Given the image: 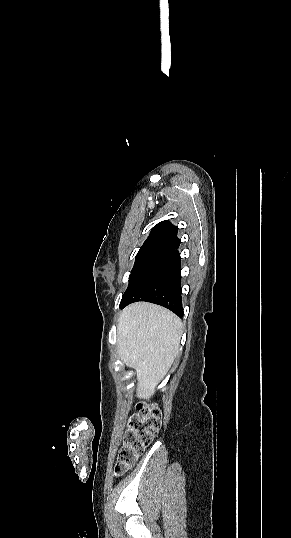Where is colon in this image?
I'll return each mask as SVG.
<instances>
[{"label": "colon", "instance_id": "obj_1", "mask_svg": "<svg viewBox=\"0 0 291 538\" xmlns=\"http://www.w3.org/2000/svg\"><path fill=\"white\" fill-rule=\"evenodd\" d=\"M162 413L155 405L139 404L138 413L129 423L125 441L115 465L116 476L124 473L135 463L143 450L151 443L161 426Z\"/></svg>", "mask_w": 291, "mask_h": 538}]
</instances>
